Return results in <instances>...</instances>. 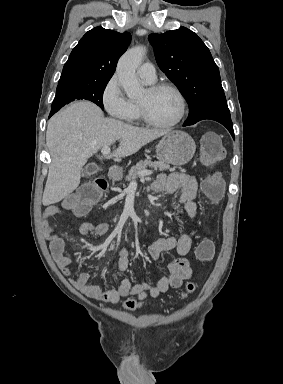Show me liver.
I'll use <instances>...</instances> for the list:
<instances>
[{
  "instance_id": "liver-1",
  "label": "liver",
  "mask_w": 283,
  "mask_h": 384,
  "mask_svg": "<svg viewBox=\"0 0 283 384\" xmlns=\"http://www.w3.org/2000/svg\"><path fill=\"white\" fill-rule=\"evenodd\" d=\"M165 134H169V130H145L104 118L102 110L87 100L69 104L48 122L46 144L51 164L43 206L61 202L78 188L84 164L100 148H109L119 140V148L113 154H104L103 158H126Z\"/></svg>"
}]
</instances>
